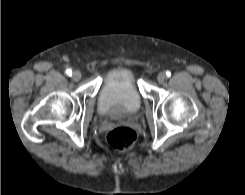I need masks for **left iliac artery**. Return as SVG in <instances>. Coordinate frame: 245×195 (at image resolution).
<instances>
[{"label": "left iliac artery", "mask_w": 245, "mask_h": 195, "mask_svg": "<svg viewBox=\"0 0 245 195\" xmlns=\"http://www.w3.org/2000/svg\"><path fill=\"white\" fill-rule=\"evenodd\" d=\"M166 76L170 77L171 76V72L170 71H166Z\"/></svg>", "instance_id": "left-iliac-artery-1"}]
</instances>
